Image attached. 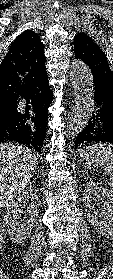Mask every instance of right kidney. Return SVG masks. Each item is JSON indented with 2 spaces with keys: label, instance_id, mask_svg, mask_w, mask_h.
Wrapping results in <instances>:
<instances>
[{
  "label": "right kidney",
  "instance_id": "right-kidney-1",
  "mask_svg": "<svg viewBox=\"0 0 113 279\" xmlns=\"http://www.w3.org/2000/svg\"><path fill=\"white\" fill-rule=\"evenodd\" d=\"M39 199V190L30 188L22 192V194L7 206V212L4 216V229L13 242L21 244L30 236L38 217ZM28 200L31 201L28 206V218L22 220L23 203Z\"/></svg>",
  "mask_w": 113,
  "mask_h": 279
}]
</instances>
